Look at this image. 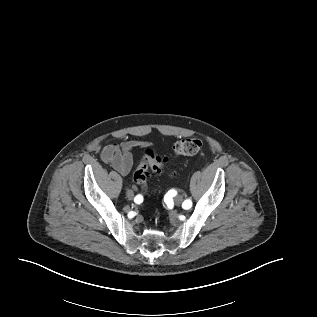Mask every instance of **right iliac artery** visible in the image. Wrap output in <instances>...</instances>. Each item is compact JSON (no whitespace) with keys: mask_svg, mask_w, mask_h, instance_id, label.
Masks as SVG:
<instances>
[{"mask_svg":"<svg viewBox=\"0 0 317 317\" xmlns=\"http://www.w3.org/2000/svg\"><path fill=\"white\" fill-rule=\"evenodd\" d=\"M143 201V196L142 195H137L135 198H134V202L137 203V204H140L142 203Z\"/></svg>","mask_w":317,"mask_h":317,"instance_id":"right-iliac-artery-1","label":"right iliac artery"}]
</instances>
